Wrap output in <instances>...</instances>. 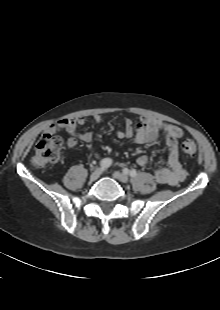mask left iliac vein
I'll list each match as a JSON object with an SVG mask.
<instances>
[{
    "label": "left iliac vein",
    "mask_w": 220,
    "mask_h": 310,
    "mask_svg": "<svg viewBox=\"0 0 220 310\" xmlns=\"http://www.w3.org/2000/svg\"><path fill=\"white\" fill-rule=\"evenodd\" d=\"M113 177H114L116 180H118V181H120V182H122V183H127L128 180H129V178H128V176H127L126 174L120 173V172H118V171H116V172L113 173Z\"/></svg>",
    "instance_id": "left-iliac-vein-1"
}]
</instances>
